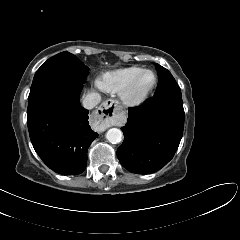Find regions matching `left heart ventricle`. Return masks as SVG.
I'll return each instance as SVG.
<instances>
[{"instance_id":"left-heart-ventricle-1","label":"left heart ventricle","mask_w":240,"mask_h":240,"mask_svg":"<svg viewBox=\"0 0 240 240\" xmlns=\"http://www.w3.org/2000/svg\"><path fill=\"white\" fill-rule=\"evenodd\" d=\"M153 82L154 76L152 73L143 74L135 85L134 94L140 95L144 93L152 86Z\"/></svg>"}]
</instances>
